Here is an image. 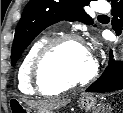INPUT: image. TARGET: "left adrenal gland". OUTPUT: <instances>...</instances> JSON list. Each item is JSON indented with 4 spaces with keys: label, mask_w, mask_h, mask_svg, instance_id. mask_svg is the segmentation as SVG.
I'll return each mask as SVG.
<instances>
[{
    "label": "left adrenal gland",
    "mask_w": 123,
    "mask_h": 113,
    "mask_svg": "<svg viewBox=\"0 0 123 113\" xmlns=\"http://www.w3.org/2000/svg\"><path fill=\"white\" fill-rule=\"evenodd\" d=\"M110 109V108H109ZM95 113H99V110H97V111H94ZM105 112V109H104V107L102 108V111H101V113H104ZM108 112V111H107Z\"/></svg>",
    "instance_id": "left-adrenal-gland-1"
}]
</instances>
